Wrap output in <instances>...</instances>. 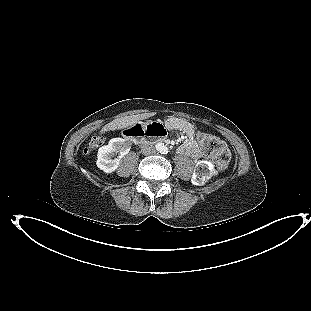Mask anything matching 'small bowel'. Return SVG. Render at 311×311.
I'll return each mask as SVG.
<instances>
[{
    "mask_svg": "<svg viewBox=\"0 0 311 311\" xmlns=\"http://www.w3.org/2000/svg\"><path fill=\"white\" fill-rule=\"evenodd\" d=\"M166 128L170 130H179L186 135L185 142L179 147V153L182 155L198 158L200 151L196 144V133L193 125L185 119L169 117L165 120Z\"/></svg>",
    "mask_w": 311,
    "mask_h": 311,
    "instance_id": "1",
    "label": "small bowel"
}]
</instances>
